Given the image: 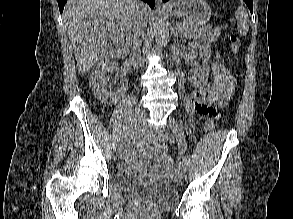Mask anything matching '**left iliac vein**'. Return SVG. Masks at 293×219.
Wrapping results in <instances>:
<instances>
[{"label":"left iliac vein","instance_id":"4c4485c4","mask_svg":"<svg viewBox=\"0 0 293 219\" xmlns=\"http://www.w3.org/2000/svg\"><path fill=\"white\" fill-rule=\"evenodd\" d=\"M169 125H170V128H171L173 134L175 135V137L177 139L178 147L182 148V132H181V129H180V126H179L177 119L173 115H171L169 117ZM180 166H181L183 172H185L186 168H187V162L183 157L180 160Z\"/></svg>","mask_w":293,"mask_h":219}]
</instances>
